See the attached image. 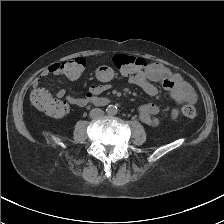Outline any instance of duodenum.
Returning <instances> with one entry per match:
<instances>
[{
    "instance_id": "obj_1",
    "label": "duodenum",
    "mask_w": 224,
    "mask_h": 224,
    "mask_svg": "<svg viewBox=\"0 0 224 224\" xmlns=\"http://www.w3.org/2000/svg\"><path fill=\"white\" fill-rule=\"evenodd\" d=\"M99 105H107L109 103L107 98H98L95 100Z\"/></svg>"
}]
</instances>
